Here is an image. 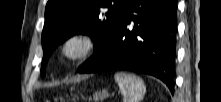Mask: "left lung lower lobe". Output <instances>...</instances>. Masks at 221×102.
I'll return each mask as SVG.
<instances>
[{
	"instance_id": "left-lung-lower-lobe-1",
	"label": "left lung lower lobe",
	"mask_w": 221,
	"mask_h": 102,
	"mask_svg": "<svg viewBox=\"0 0 221 102\" xmlns=\"http://www.w3.org/2000/svg\"><path fill=\"white\" fill-rule=\"evenodd\" d=\"M176 22L175 0H127L111 37L79 73H145L162 80L173 93Z\"/></svg>"
}]
</instances>
